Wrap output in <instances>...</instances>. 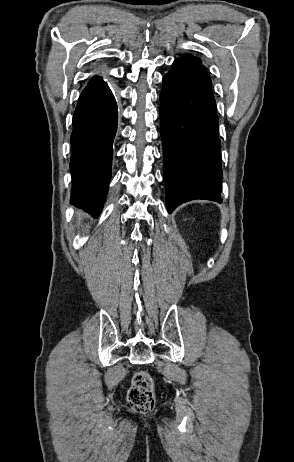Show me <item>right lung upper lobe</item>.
I'll list each match as a JSON object with an SVG mask.
<instances>
[{
	"label": "right lung upper lobe",
	"instance_id": "obj_1",
	"mask_svg": "<svg viewBox=\"0 0 294 462\" xmlns=\"http://www.w3.org/2000/svg\"><path fill=\"white\" fill-rule=\"evenodd\" d=\"M99 76H95L94 78H98Z\"/></svg>",
	"mask_w": 294,
	"mask_h": 462
}]
</instances>
